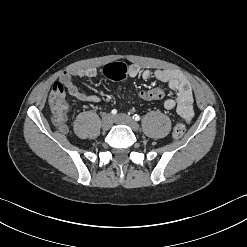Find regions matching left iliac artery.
Instances as JSON below:
<instances>
[{"instance_id": "1", "label": "left iliac artery", "mask_w": 247, "mask_h": 247, "mask_svg": "<svg viewBox=\"0 0 247 247\" xmlns=\"http://www.w3.org/2000/svg\"><path fill=\"white\" fill-rule=\"evenodd\" d=\"M133 119H134L135 121H139V120H140V116L137 115V114H135V115H133Z\"/></svg>"}]
</instances>
